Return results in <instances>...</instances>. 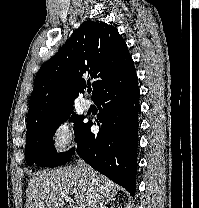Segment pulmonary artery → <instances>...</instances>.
I'll return each instance as SVG.
<instances>
[{
    "mask_svg": "<svg viewBox=\"0 0 199 208\" xmlns=\"http://www.w3.org/2000/svg\"><path fill=\"white\" fill-rule=\"evenodd\" d=\"M80 105L81 108L85 111L91 108V102L87 98H82Z\"/></svg>",
    "mask_w": 199,
    "mask_h": 208,
    "instance_id": "pulmonary-artery-1",
    "label": "pulmonary artery"
}]
</instances>
